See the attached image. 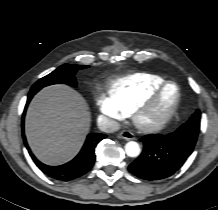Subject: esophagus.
I'll return each instance as SVG.
<instances>
[{"instance_id": "esophagus-1", "label": "esophagus", "mask_w": 218, "mask_h": 210, "mask_svg": "<svg viewBox=\"0 0 218 210\" xmlns=\"http://www.w3.org/2000/svg\"><path fill=\"white\" fill-rule=\"evenodd\" d=\"M119 137L121 139H124V140H127V141L133 140L135 138L134 134L132 132H130V131H127V130H124V131L120 132Z\"/></svg>"}]
</instances>
